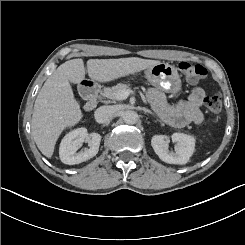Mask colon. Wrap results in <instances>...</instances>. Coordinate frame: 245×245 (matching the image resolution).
<instances>
[{
  "label": "colon",
  "mask_w": 245,
  "mask_h": 245,
  "mask_svg": "<svg viewBox=\"0 0 245 245\" xmlns=\"http://www.w3.org/2000/svg\"><path fill=\"white\" fill-rule=\"evenodd\" d=\"M180 72L185 78L192 82L197 83L206 76V69L201 65H195L189 62H181L178 65ZM205 105L207 110L213 117L215 122L220 119V113L222 111V101L218 96H210L205 98Z\"/></svg>",
  "instance_id": "obj_1"
}]
</instances>
